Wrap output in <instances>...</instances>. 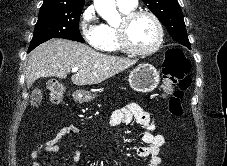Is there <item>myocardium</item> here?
<instances>
[{
  "mask_svg": "<svg viewBox=\"0 0 227 166\" xmlns=\"http://www.w3.org/2000/svg\"><path fill=\"white\" fill-rule=\"evenodd\" d=\"M140 16H148L155 24L157 30L155 42L146 49L134 47L127 39V28L129 24ZM116 36L120 47L125 52L136 56H148L159 50L163 42L164 32L160 20L154 13L147 10H134L122 16L120 22L116 26Z\"/></svg>",
  "mask_w": 227,
  "mask_h": 166,
  "instance_id": "obj_1",
  "label": "myocardium"
}]
</instances>
